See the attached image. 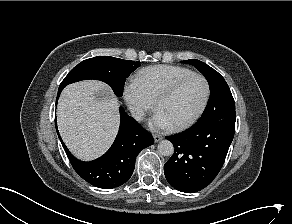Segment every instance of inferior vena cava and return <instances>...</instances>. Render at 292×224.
I'll return each mask as SVG.
<instances>
[{
  "label": "inferior vena cava",
  "instance_id": "602c4592",
  "mask_svg": "<svg viewBox=\"0 0 292 224\" xmlns=\"http://www.w3.org/2000/svg\"><path fill=\"white\" fill-rule=\"evenodd\" d=\"M130 112L133 118H135L138 121L143 120V116H144V111L139 108V107H131L130 108Z\"/></svg>",
  "mask_w": 292,
  "mask_h": 224
}]
</instances>
